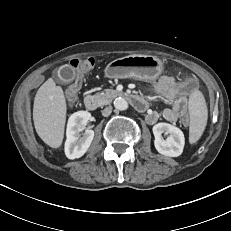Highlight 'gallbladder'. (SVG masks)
Masks as SVG:
<instances>
[{"label": "gallbladder", "instance_id": "gallbladder-1", "mask_svg": "<svg viewBox=\"0 0 231 231\" xmlns=\"http://www.w3.org/2000/svg\"><path fill=\"white\" fill-rule=\"evenodd\" d=\"M76 73L69 65L60 67L56 73V80L59 83L68 84L75 79Z\"/></svg>", "mask_w": 231, "mask_h": 231}]
</instances>
